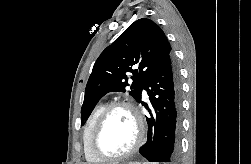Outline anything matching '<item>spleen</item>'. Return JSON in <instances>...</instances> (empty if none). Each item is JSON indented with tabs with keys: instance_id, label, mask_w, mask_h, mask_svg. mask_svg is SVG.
Segmentation results:
<instances>
[{
	"instance_id": "spleen-1",
	"label": "spleen",
	"mask_w": 251,
	"mask_h": 164,
	"mask_svg": "<svg viewBox=\"0 0 251 164\" xmlns=\"http://www.w3.org/2000/svg\"><path fill=\"white\" fill-rule=\"evenodd\" d=\"M143 164H150V163H146V162H145V163H143Z\"/></svg>"
}]
</instances>
